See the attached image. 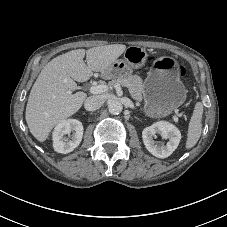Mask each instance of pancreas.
I'll use <instances>...</instances> for the list:
<instances>
[{"mask_svg":"<svg viewBox=\"0 0 227 227\" xmlns=\"http://www.w3.org/2000/svg\"><path fill=\"white\" fill-rule=\"evenodd\" d=\"M116 83H119L122 86H126L129 89V92L133 99L137 101L142 100L144 84L141 77L137 75H128L124 78L113 79L109 84L113 86Z\"/></svg>","mask_w":227,"mask_h":227,"instance_id":"obj_1","label":"pancreas"}]
</instances>
